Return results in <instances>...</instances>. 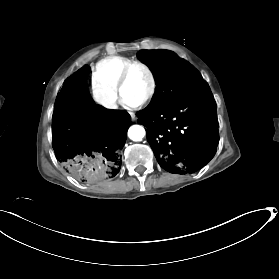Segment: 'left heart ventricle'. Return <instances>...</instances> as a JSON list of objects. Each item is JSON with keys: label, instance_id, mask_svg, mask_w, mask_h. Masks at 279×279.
I'll return each mask as SVG.
<instances>
[{"label": "left heart ventricle", "instance_id": "1", "mask_svg": "<svg viewBox=\"0 0 279 279\" xmlns=\"http://www.w3.org/2000/svg\"><path fill=\"white\" fill-rule=\"evenodd\" d=\"M150 89V78L140 67L131 70L123 93V101L127 104L139 103Z\"/></svg>", "mask_w": 279, "mask_h": 279}]
</instances>
